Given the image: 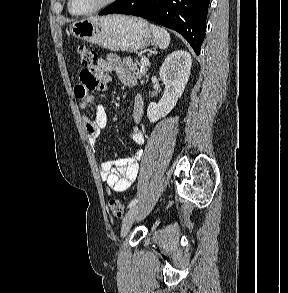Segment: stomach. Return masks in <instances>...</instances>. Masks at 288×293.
Instances as JSON below:
<instances>
[{
  "mask_svg": "<svg viewBox=\"0 0 288 293\" xmlns=\"http://www.w3.org/2000/svg\"><path fill=\"white\" fill-rule=\"evenodd\" d=\"M69 31L75 38L112 51L136 52L155 42L147 21L124 15L84 18L72 23Z\"/></svg>",
  "mask_w": 288,
  "mask_h": 293,
  "instance_id": "1",
  "label": "stomach"
}]
</instances>
